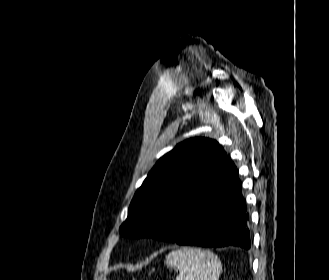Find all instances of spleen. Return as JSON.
Masks as SVG:
<instances>
[{"mask_svg": "<svg viewBox=\"0 0 329 280\" xmlns=\"http://www.w3.org/2000/svg\"><path fill=\"white\" fill-rule=\"evenodd\" d=\"M165 263L179 271L176 280H218L222 271L220 259L211 251L183 247L171 251Z\"/></svg>", "mask_w": 329, "mask_h": 280, "instance_id": "1", "label": "spleen"}]
</instances>
